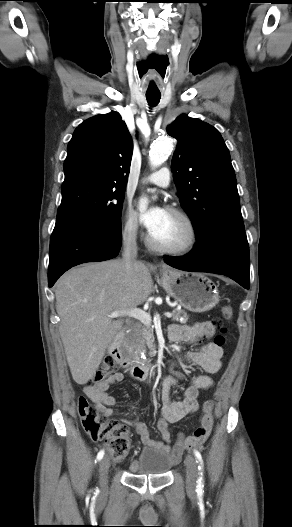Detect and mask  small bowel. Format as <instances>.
<instances>
[{
    "label": "small bowel",
    "instance_id": "obj_1",
    "mask_svg": "<svg viewBox=\"0 0 292 527\" xmlns=\"http://www.w3.org/2000/svg\"><path fill=\"white\" fill-rule=\"evenodd\" d=\"M214 333V326L211 322H198L193 325H172L169 329V338L173 342L193 343L200 337L211 336ZM223 349L215 343L202 345L195 351L184 355L182 362L185 364L201 367L206 374L197 375L191 378L189 385L183 392V397L179 401H171L169 390L176 385L178 379L183 377L178 370H172V374L163 381V396L161 418L157 422V428L164 441L153 440L147 425L140 421L131 422L135 432L140 437L141 442L147 446L159 449L167 454L172 462L178 461L185 449L200 446L211 431L213 419V402L206 401L201 407L200 425L194 433L188 437L180 434L174 445H171V436L168 430V423L178 422L185 416L193 414L199 410L197 401L199 390H206L212 387L213 380L210 375L219 372L222 366L221 358ZM124 378L121 372L112 375L105 382L87 386L84 391L87 397L93 401L103 416H111L114 413L112 407L115 405V398L108 394V388Z\"/></svg>",
    "mask_w": 292,
    "mask_h": 527
}]
</instances>
